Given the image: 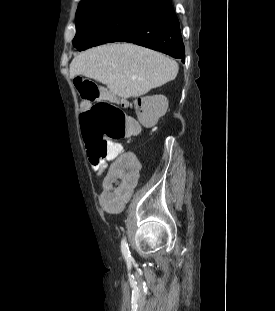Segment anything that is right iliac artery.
<instances>
[{"instance_id": "obj_1", "label": "right iliac artery", "mask_w": 275, "mask_h": 311, "mask_svg": "<svg viewBox=\"0 0 275 311\" xmlns=\"http://www.w3.org/2000/svg\"><path fill=\"white\" fill-rule=\"evenodd\" d=\"M121 251H122V254H123L124 258L126 259V261L132 260V257H131L130 251H129V247H128V244L126 242V238H123L121 241Z\"/></svg>"}]
</instances>
